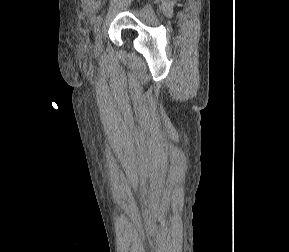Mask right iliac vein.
<instances>
[{"mask_svg":"<svg viewBox=\"0 0 289 252\" xmlns=\"http://www.w3.org/2000/svg\"><path fill=\"white\" fill-rule=\"evenodd\" d=\"M102 34H103V30L99 28L96 33L95 46H94L95 52L97 53L101 51Z\"/></svg>","mask_w":289,"mask_h":252,"instance_id":"63e3f726","label":"right iliac vein"}]
</instances>
